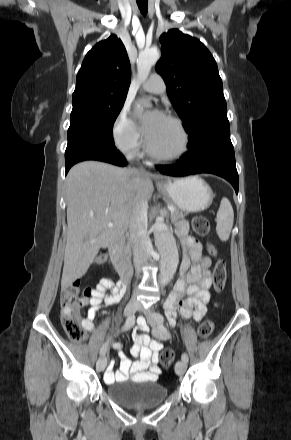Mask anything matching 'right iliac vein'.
<instances>
[{
	"label": "right iliac vein",
	"mask_w": 291,
	"mask_h": 440,
	"mask_svg": "<svg viewBox=\"0 0 291 440\" xmlns=\"http://www.w3.org/2000/svg\"><path fill=\"white\" fill-rule=\"evenodd\" d=\"M139 309V304L135 300H130L126 305L124 315H132ZM107 365V359L105 356L100 357L96 362V368L99 371H103Z\"/></svg>",
	"instance_id": "right-iliac-vein-1"
}]
</instances>
